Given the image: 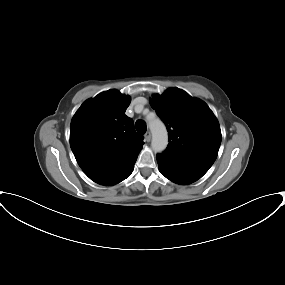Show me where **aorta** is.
I'll list each match as a JSON object with an SVG mask.
<instances>
[{
    "mask_svg": "<svg viewBox=\"0 0 285 285\" xmlns=\"http://www.w3.org/2000/svg\"><path fill=\"white\" fill-rule=\"evenodd\" d=\"M152 133L151 146L155 153L162 152L168 144V134L164 123L160 119H153L149 122Z\"/></svg>",
    "mask_w": 285,
    "mask_h": 285,
    "instance_id": "762f6f07",
    "label": "aorta"
}]
</instances>
